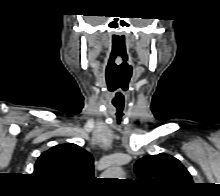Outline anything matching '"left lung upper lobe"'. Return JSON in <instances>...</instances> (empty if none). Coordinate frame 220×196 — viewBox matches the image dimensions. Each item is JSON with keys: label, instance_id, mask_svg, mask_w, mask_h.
Listing matches in <instances>:
<instances>
[{"label": "left lung upper lobe", "instance_id": "5c2ea615", "mask_svg": "<svg viewBox=\"0 0 220 196\" xmlns=\"http://www.w3.org/2000/svg\"><path fill=\"white\" fill-rule=\"evenodd\" d=\"M134 170L141 182L160 190L180 191L193 183L180 161L164 153L139 159Z\"/></svg>", "mask_w": 220, "mask_h": 196}]
</instances>
